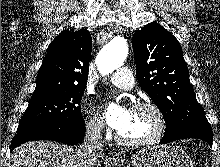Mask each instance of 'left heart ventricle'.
I'll list each match as a JSON object with an SVG mask.
<instances>
[{
    "mask_svg": "<svg viewBox=\"0 0 220 167\" xmlns=\"http://www.w3.org/2000/svg\"><path fill=\"white\" fill-rule=\"evenodd\" d=\"M156 126V118L150 111L132 109L127 125L119 133L128 140H142L151 136Z\"/></svg>",
    "mask_w": 220,
    "mask_h": 167,
    "instance_id": "obj_1",
    "label": "left heart ventricle"
}]
</instances>
